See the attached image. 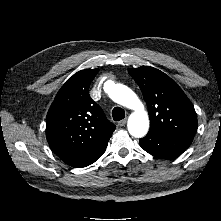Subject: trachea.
<instances>
[{
	"mask_svg": "<svg viewBox=\"0 0 221 221\" xmlns=\"http://www.w3.org/2000/svg\"><path fill=\"white\" fill-rule=\"evenodd\" d=\"M112 117L114 121H120L125 117V111L121 107H114Z\"/></svg>",
	"mask_w": 221,
	"mask_h": 221,
	"instance_id": "trachea-1",
	"label": "trachea"
}]
</instances>
